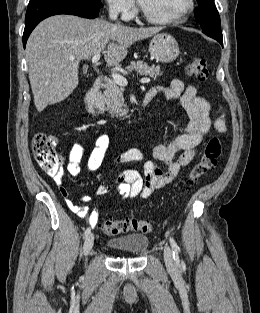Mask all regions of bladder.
Instances as JSON below:
<instances>
[{"mask_svg":"<svg viewBox=\"0 0 260 313\" xmlns=\"http://www.w3.org/2000/svg\"><path fill=\"white\" fill-rule=\"evenodd\" d=\"M148 242L149 238L145 235L129 234L108 240L107 246L114 250L140 255L146 250Z\"/></svg>","mask_w":260,"mask_h":313,"instance_id":"bladder-1","label":"bladder"}]
</instances>
